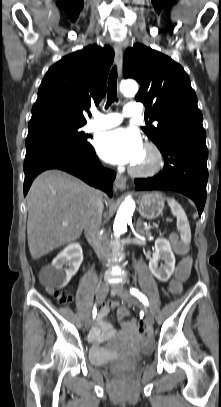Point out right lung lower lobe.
<instances>
[{"mask_svg":"<svg viewBox=\"0 0 221 407\" xmlns=\"http://www.w3.org/2000/svg\"><path fill=\"white\" fill-rule=\"evenodd\" d=\"M26 148L24 196L34 178L48 169L64 170L112 196L116 173L102 167L93 147L80 150L64 141L38 139L26 143Z\"/></svg>","mask_w":221,"mask_h":407,"instance_id":"right-lung-lower-lobe-1","label":"right lung lower lobe"}]
</instances>
